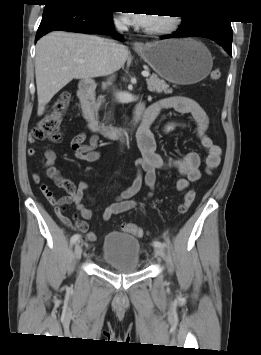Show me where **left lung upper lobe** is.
<instances>
[{"label": "left lung upper lobe", "instance_id": "1", "mask_svg": "<svg viewBox=\"0 0 261 355\" xmlns=\"http://www.w3.org/2000/svg\"><path fill=\"white\" fill-rule=\"evenodd\" d=\"M183 18V23L186 26H195L196 24L199 23V21L203 18H188V17H182Z\"/></svg>", "mask_w": 261, "mask_h": 355}]
</instances>
